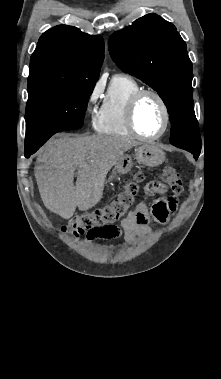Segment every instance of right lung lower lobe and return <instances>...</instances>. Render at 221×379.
<instances>
[{
  "instance_id": "98d812e1",
  "label": "right lung lower lobe",
  "mask_w": 221,
  "mask_h": 379,
  "mask_svg": "<svg viewBox=\"0 0 221 379\" xmlns=\"http://www.w3.org/2000/svg\"><path fill=\"white\" fill-rule=\"evenodd\" d=\"M40 146H41V144H39V145H36V144H31V145L25 144V151H24L25 157L29 158L30 155L33 154L35 151H37Z\"/></svg>"
}]
</instances>
